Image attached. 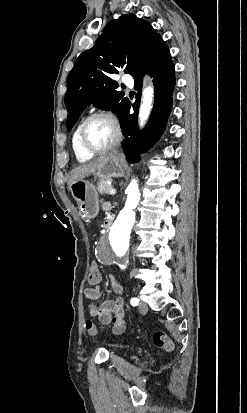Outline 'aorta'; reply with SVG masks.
Segmentation results:
<instances>
[{"instance_id": "762f6f07", "label": "aorta", "mask_w": 247, "mask_h": 413, "mask_svg": "<svg viewBox=\"0 0 247 413\" xmlns=\"http://www.w3.org/2000/svg\"><path fill=\"white\" fill-rule=\"evenodd\" d=\"M153 100V89L148 86L142 94L141 105L139 109L140 127L142 128L149 118ZM127 200L124 208L120 211L111 230L110 239L114 243V250L118 256H123L129 246L130 231L135 222V208L140 200V191L135 179H132L126 189Z\"/></svg>"}]
</instances>
